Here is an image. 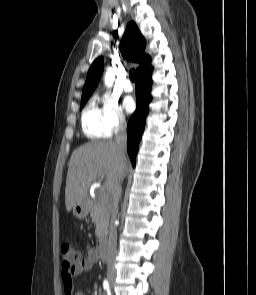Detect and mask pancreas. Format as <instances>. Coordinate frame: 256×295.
<instances>
[{
    "label": "pancreas",
    "mask_w": 256,
    "mask_h": 295,
    "mask_svg": "<svg viewBox=\"0 0 256 295\" xmlns=\"http://www.w3.org/2000/svg\"><path fill=\"white\" fill-rule=\"evenodd\" d=\"M92 221L96 224L95 235L100 243L107 233L109 213L107 204L103 201L95 202L91 209Z\"/></svg>",
    "instance_id": "1"
}]
</instances>
